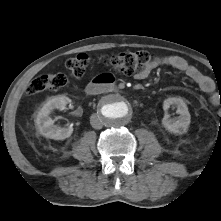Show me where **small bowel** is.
Returning a JSON list of instances; mask_svg holds the SVG:
<instances>
[{"label":"small bowel","mask_w":221,"mask_h":221,"mask_svg":"<svg viewBox=\"0 0 221 221\" xmlns=\"http://www.w3.org/2000/svg\"><path fill=\"white\" fill-rule=\"evenodd\" d=\"M159 65L169 66L184 73L188 78L193 80L204 93L209 95V100L213 105L221 104V98L219 94L215 92V85L212 79L179 56H164L156 58L146 65L143 70L138 72L135 75V78L139 80L146 79L151 74L152 70Z\"/></svg>","instance_id":"small-bowel-1"}]
</instances>
